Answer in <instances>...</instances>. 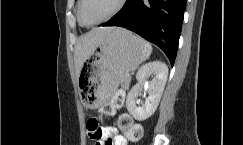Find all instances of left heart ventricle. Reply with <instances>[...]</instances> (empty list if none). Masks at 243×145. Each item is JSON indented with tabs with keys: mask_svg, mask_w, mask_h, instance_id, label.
Listing matches in <instances>:
<instances>
[{
	"mask_svg": "<svg viewBox=\"0 0 243 145\" xmlns=\"http://www.w3.org/2000/svg\"><path fill=\"white\" fill-rule=\"evenodd\" d=\"M119 0H85L83 18L88 24H94L108 16L118 5Z\"/></svg>",
	"mask_w": 243,
	"mask_h": 145,
	"instance_id": "b2bd125f",
	"label": "left heart ventricle"
}]
</instances>
